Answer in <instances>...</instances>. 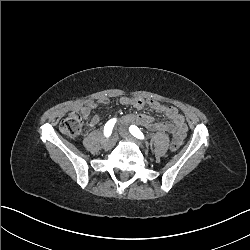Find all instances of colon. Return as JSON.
I'll return each mask as SVG.
<instances>
[{
  "instance_id": "1",
  "label": "colon",
  "mask_w": 250,
  "mask_h": 250,
  "mask_svg": "<svg viewBox=\"0 0 250 250\" xmlns=\"http://www.w3.org/2000/svg\"><path fill=\"white\" fill-rule=\"evenodd\" d=\"M83 126L82 115L79 111H72L66 115L59 125L60 132L68 138H76ZM169 152L175 153L180 146L178 138L174 137L170 142Z\"/></svg>"
}]
</instances>
